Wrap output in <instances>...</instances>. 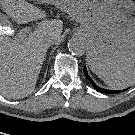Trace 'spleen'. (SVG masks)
<instances>
[{"label":"spleen","instance_id":"3e777b00","mask_svg":"<svg viewBox=\"0 0 135 135\" xmlns=\"http://www.w3.org/2000/svg\"><path fill=\"white\" fill-rule=\"evenodd\" d=\"M97 75L102 78L104 83L111 89H124L135 84V65L111 75Z\"/></svg>","mask_w":135,"mask_h":135}]
</instances>
